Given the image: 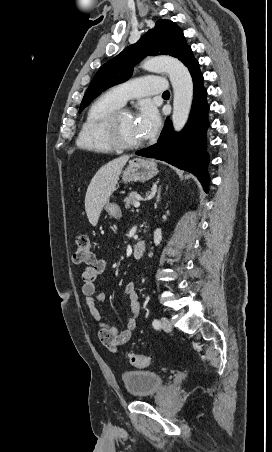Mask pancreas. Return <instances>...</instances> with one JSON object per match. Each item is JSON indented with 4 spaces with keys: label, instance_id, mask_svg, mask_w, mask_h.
Wrapping results in <instances>:
<instances>
[{
    "label": "pancreas",
    "instance_id": "obj_1",
    "mask_svg": "<svg viewBox=\"0 0 272 452\" xmlns=\"http://www.w3.org/2000/svg\"><path fill=\"white\" fill-rule=\"evenodd\" d=\"M136 201H137V192H131V193L124 199V205H125V208H130V207H132Z\"/></svg>",
    "mask_w": 272,
    "mask_h": 452
}]
</instances>
